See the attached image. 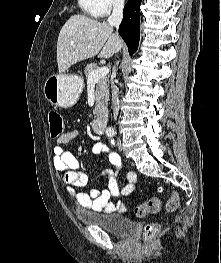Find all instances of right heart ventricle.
I'll return each instance as SVG.
<instances>
[{
    "label": "right heart ventricle",
    "mask_w": 221,
    "mask_h": 263,
    "mask_svg": "<svg viewBox=\"0 0 221 263\" xmlns=\"http://www.w3.org/2000/svg\"><path fill=\"white\" fill-rule=\"evenodd\" d=\"M79 6L82 11L92 17H100L96 0H78Z\"/></svg>",
    "instance_id": "right-heart-ventricle-1"
}]
</instances>
